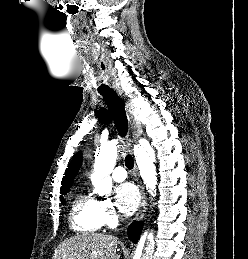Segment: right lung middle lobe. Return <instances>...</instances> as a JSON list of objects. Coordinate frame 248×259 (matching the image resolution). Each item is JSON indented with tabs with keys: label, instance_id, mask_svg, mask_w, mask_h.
I'll list each match as a JSON object with an SVG mask.
<instances>
[{
	"label": "right lung middle lobe",
	"instance_id": "dd1d6c3e",
	"mask_svg": "<svg viewBox=\"0 0 248 259\" xmlns=\"http://www.w3.org/2000/svg\"><path fill=\"white\" fill-rule=\"evenodd\" d=\"M68 190L69 189L61 191V194L65 195L68 192ZM60 200H61L62 204L65 203V200H64V198L62 196L60 197Z\"/></svg>",
	"mask_w": 248,
	"mask_h": 259
}]
</instances>
